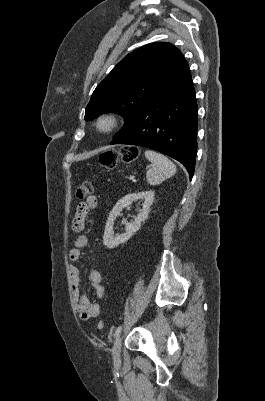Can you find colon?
<instances>
[{"instance_id": "5ec220e1", "label": "colon", "mask_w": 265, "mask_h": 401, "mask_svg": "<svg viewBox=\"0 0 265 401\" xmlns=\"http://www.w3.org/2000/svg\"><path fill=\"white\" fill-rule=\"evenodd\" d=\"M138 149L133 146H124L119 150L111 149L102 152L99 155V163L105 169H114L120 160L124 162L134 161L138 157ZM94 184L91 181H83L77 188V197L79 199H87L92 196ZM98 329L104 328L102 320L98 322Z\"/></svg>"}]
</instances>
